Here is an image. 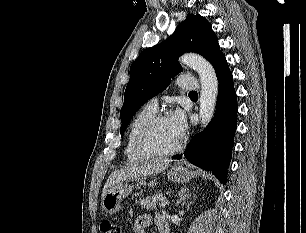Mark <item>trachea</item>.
Instances as JSON below:
<instances>
[{
  "mask_svg": "<svg viewBox=\"0 0 306 233\" xmlns=\"http://www.w3.org/2000/svg\"><path fill=\"white\" fill-rule=\"evenodd\" d=\"M189 94H191V95H197V92H196V91H192V92H190Z\"/></svg>",
  "mask_w": 306,
  "mask_h": 233,
  "instance_id": "1",
  "label": "trachea"
}]
</instances>
